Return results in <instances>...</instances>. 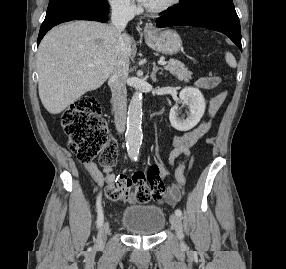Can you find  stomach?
I'll list each match as a JSON object with an SVG mask.
<instances>
[{"instance_id": "0dacf381", "label": "stomach", "mask_w": 286, "mask_h": 269, "mask_svg": "<svg viewBox=\"0 0 286 269\" xmlns=\"http://www.w3.org/2000/svg\"><path fill=\"white\" fill-rule=\"evenodd\" d=\"M145 41L150 48L166 55H174L182 47L179 34L171 29L147 32L145 34Z\"/></svg>"}]
</instances>
